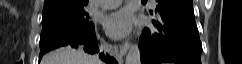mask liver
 Segmentation results:
<instances>
[{
	"label": "liver",
	"instance_id": "liver-1",
	"mask_svg": "<svg viewBox=\"0 0 242 64\" xmlns=\"http://www.w3.org/2000/svg\"><path fill=\"white\" fill-rule=\"evenodd\" d=\"M42 64H102L95 56L86 54L83 50L63 47L46 55Z\"/></svg>",
	"mask_w": 242,
	"mask_h": 64
}]
</instances>
